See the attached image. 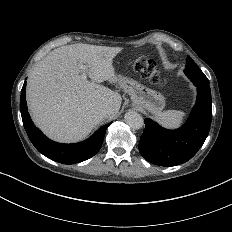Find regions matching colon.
Wrapping results in <instances>:
<instances>
[{
    "label": "colon",
    "instance_id": "colon-1",
    "mask_svg": "<svg viewBox=\"0 0 232 232\" xmlns=\"http://www.w3.org/2000/svg\"><path fill=\"white\" fill-rule=\"evenodd\" d=\"M133 70H137L138 73H160L161 69L156 68L155 65H147L146 61H135L132 66ZM144 79H151L153 86H160V78L158 74H144Z\"/></svg>",
    "mask_w": 232,
    "mask_h": 232
}]
</instances>
